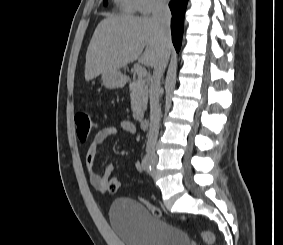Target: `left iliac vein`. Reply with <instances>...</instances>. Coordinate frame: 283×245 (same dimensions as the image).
I'll return each mask as SVG.
<instances>
[{"label":"left iliac vein","instance_id":"left-iliac-vein-1","mask_svg":"<svg viewBox=\"0 0 283 245\" xmlns=\"http://www.w3.org/2000/svg\"><path fill=\"white\" fill-rule=\"evenodd\" d=\"M153 164H154V163H153ZM151 176H152V177L155 176V171H154V169H153L152 172H151Z\"/></svg>","mask_w":283,"mask_h":245}]
</instances>
